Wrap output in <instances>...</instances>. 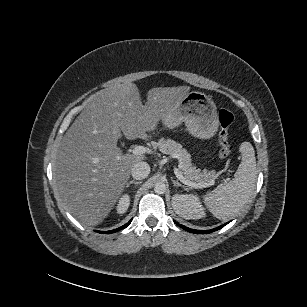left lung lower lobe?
Returning <instances> with one entry per match:
<instances>
[{
    "instance_id": "left-lung-lower-lobe-1",
    "label": "left lung lower lobe",
    "mask_w": 307,
    "mask_h": 307,
    "mask_svg": "<svg viewBox=\"0 0 307 307\" xmlns=\"http://www.w3.org/2000/svg\"><path fill=\"white\" fill-rule=\"evenodd\" d=\"M177 225H179L180 227H182L183 229L187 230L188 232H191V233H196V234H206V233H211V232H214L218 229H221L224 225L222 226H219L215 229H212V230H194V229H190V228H187L183 225H180L179 223H176ZM226 225V224H225Z\"/></svg>"
}]
</instances>
